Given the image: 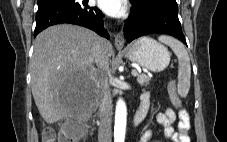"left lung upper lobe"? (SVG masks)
Instances as JSON below:
<instances>
[{
  "mask_svg": "<svg viewBox=\"0 0 227 142\" xmlns=\"http://www.w3.org/2000/svg\"><path fill=\"white\" fill-rule=\"evenodd\" d=\"M130 2L133 6L137 7H143L150 2H160L178 8L176 0H130Z\"/></svg>",
  "mask_w": 227,
  "mask_h": 142,
  "instance_id": "obj_1",
  "label": "left lung upper lobe"
}]
</instances>
